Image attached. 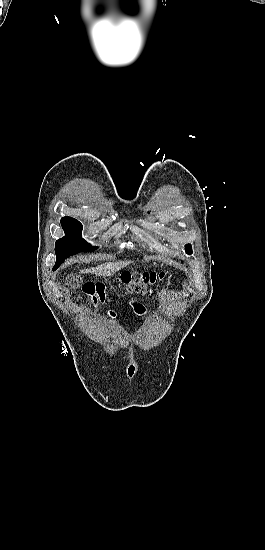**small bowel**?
Wrapping results in <instances>:
<instances>
[{"instance_id": "obj_1", "label": "small bowel", "mask_w": 265, "mask_h": 550, "mask_svg": "<svg viewBox=\"0 0 265 550\" xmlns=\"http://www.w3.org/2000/svg\"><path fill=\"white\" fill-rule=\"evenodd\" d=\"M136 309H137L138 312H142V310H143L142 307H137Z\"/></svg>"}]
</instances>
